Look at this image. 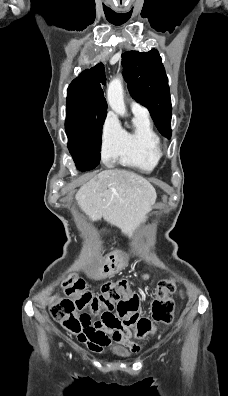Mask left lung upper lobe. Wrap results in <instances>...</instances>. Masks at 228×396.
<instances>
[{
  "label": "left lung upper lobe",
  "instance_id": "obj_1",
  "mask_svg": "<svg viewBox=\"0 0 228 396\" xmlns=\"http://www.w3.org/2000/svg\"><path fill=\"white\" fill-rule=\"evenodd\" d=\"M122 57L123 76L131 96L148 108L159 132L171 138L170 90L158 51H129Z\"/></svg>",
  "mask_w": 228,
  "mask_h": 396
}]
</instances>
